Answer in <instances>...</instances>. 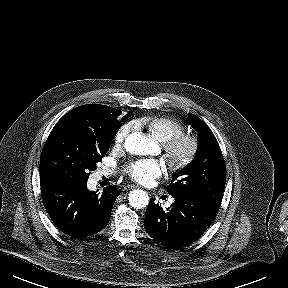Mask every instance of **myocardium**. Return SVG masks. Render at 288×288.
<instances>
[{
    "instance_id": "obj_1",
    "label": "myocardium",
    "mask_w": 288,
    "mask_h": 288,
    "mask_svg": "<svg viewBox=\"0 0 288 288\" xmlns=\"http://www.w3.org/2000/svg\"><path fill=\"white\" fill-rule=\"evenodd\" d=\"M162 149L169 165L181 169L191 164L199 151V138L193 132L183 131L164 142Z\"/></svg>"
}]
</instances>
